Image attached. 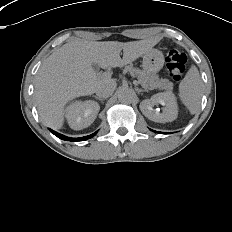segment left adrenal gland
I'll return each mask as SVG.
<instances>
[{"mask_svg":"<svg viewBox=\"0 0 232 232\" xmlns=\"http://www.w3.org/2000/svg\"><path fill=\"white\" fill-rule=\"evenodd\" d=\"M146 91H148L147 89H144V90H140V92H146Z\"/></svg>","mask_w":232,"mask_h":232,"instance_id":"a2214340","label":"left adrenal gland"}]
</instances>
